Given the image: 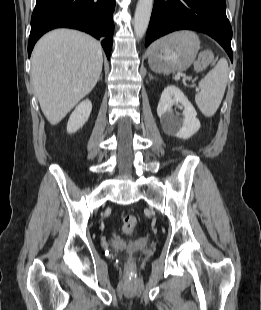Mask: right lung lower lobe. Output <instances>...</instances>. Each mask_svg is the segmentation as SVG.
<instances>
[{
    "instance_id": "right-lung-lower-lobe-1",
    "label": "right lung lower lobe",
    "mask_w": 261,
    "mask_h": 310,
    "mask_svg": "<svg viewBox=\"0 0 261 310\" xmlns=\"http://www.w3.org/2000/svg\"><path fill=\"white\" fill-rule=\"evenodd\" d=\"M114 8L115 0H36L31 17L28 56L44 33L54 28L67 27L85 31L100 39L109 59Z\"/></svg>"
}]
</instances>
